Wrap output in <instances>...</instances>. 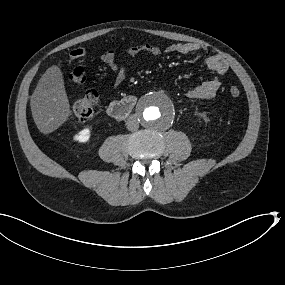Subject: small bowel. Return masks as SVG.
Instances as JSON below:
<instances>
[{"label":"small bowel","mask_w":285,"mask_h":285,"mask_svg":"<svg viewBox=\"0 0 285 285\" xmlns=\"http://www.w3.org/2000/svg\"><path fill=\"white\" fill-rule=\"evenodd\" d=\"M201 51V47L194 43H176L168 46L166 49L144 43L132 45L125 50L129 56H136L140 53H147L152 56H159L162 53H179L182 55H190ZM118 54L114 50H108L102 54V61L108 64L113 72V85H120L127 76L125 67L120 66L117 61ZM207 68L212 72V77L199 85L189 89L186 92V97L190 100L211 99L218 92L221 86V77L227 72V62L216 54H210L205 58Z\"/></svg>","instance_id":"obj_1"}]
</instances>
